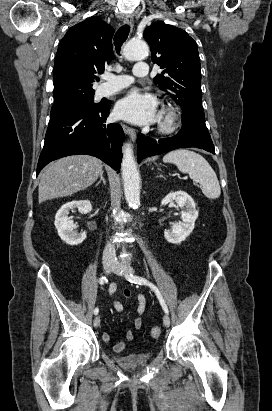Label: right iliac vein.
<instances>
[{"instance_id":"63e3f726","label":"right iliac vein","mask_w":272,"mask_h":411,"mask_svg":"<svg viewBox=\"0 0 272 411\" xmlns=\"http://www.w3.org/2000/svg\"><path fill=\"white\" fill-rule=\"evenodd\" d=\"M103 267H104V270L106 271L107 274H111V273H112V270H113V263H112V262H110V261H104V262H103ZM93 325H94V327H96V328L100 326V317H99V316H96V317L94 318V320H93Z\"/></svg>"}]
</instances>
